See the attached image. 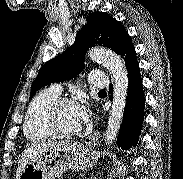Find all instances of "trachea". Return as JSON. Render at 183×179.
Returning <instances> with one entry per match:
<instances>
[{"label": "trachea", "instance_id": "1", "mask_svg": "<svg viewBox=\"0 0 183 179\" xmlns=\"http://www.w3.org/2000/svg\"><path fill=\"white\" fill-rule=\"evenodd\" d=\"M100 91H105V89H102V90H100Z\"/></svg>", "mask_w": 183, "mask_h": 179}]
</instances>
